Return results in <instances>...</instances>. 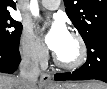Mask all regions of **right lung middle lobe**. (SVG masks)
<instances>
[{
	"label": "right lung middle lobe",
	"instance_id": "dd1d6c3e",
	"mask_svg": "<svg viewBox=\"0 0 107 89\" xmlns=\"http://www.w3.org/2000/svg\"><path fill=\"white\" fill-rule=\"evenodd\" d=\"M22 24L10 15H0V46L9 50H18Z\"/></svg>",
	"mask_w": 107,
	"mask_h": 89
}]
</instances>
